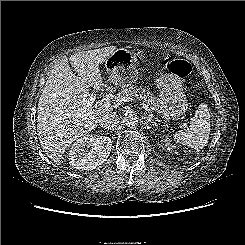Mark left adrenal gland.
Returning a JSON list of instances; mask_svg holds the SVG:
<instances>
[{
	"label": "left adrenal gland",
	"mask_w": 245,
	"mask_h": 245,
	"mask_svg": "<svg viewBox=\"0 0 245 245\" xmlns=\"http://www.w3.org/2000/svg\"><path fill=\"white\" fill-rule=\"evenodd\" d=\"M143 119H144V122L145 123H148V122H151V123H153L155 126H157V123L152 119V118H150V117H147V116H143Z\"/></svg>",
	"instance_id": "a2214340"
}]
</instances>
